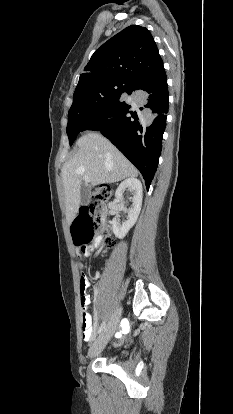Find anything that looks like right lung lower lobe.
<instances>
[{"label":"right lung lower lobe","instance_id":"98d812e1","mask_svg":"<svg viewBox=\"0 0 233 414\" xmlns=\"http://www.w3.org/2000/svg\"><path fill=\"white\" fill-rule=\"evenodd\" d=\"M124 93L136 95V102L119 99L88 120L81 131H100L137 167L148 189L157 169L168 112L165 70L129 82Z\"/></svg>","mask_w":233,"mask_h":414}]
</instances>
